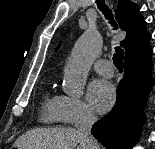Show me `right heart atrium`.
<instances>
[{"label": "right heart atrium", "instance_id": "d8ad5b80", "mask_svg": "<svg viewBox=\"0 0 155 149\" xmlns=\"http://www.w3.org/2000/svg\"><path fill=\"white\" fill-rule=\"evenodd\" d=\"M61 121L72 126L92 124L97 120L94 111L80 98L60 96Z\"/></svg>", "mask_w": 155, "mask_h": 149}]
</instances>
